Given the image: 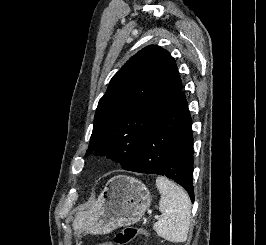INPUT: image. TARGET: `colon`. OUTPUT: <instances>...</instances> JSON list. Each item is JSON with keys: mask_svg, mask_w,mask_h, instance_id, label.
I'll use <instances>...</instances> for the list:
<instances>
[{"mask_svg": "<svg viewBox=\"0 0 266 245\" xmlns=\"http://www.w3.org/2000/svg\"><path fill=\"white\" fill-rule=\"evenodd\" d=\"M146 231L143 228L135 226H127L118 232L113 238L114 245H127L133 239L140 235H145Z\"/></svg>", "mask_w": 266, "mask_h": 245, "instance_id": "obj_1", "label": "colon"}]
</instances>
